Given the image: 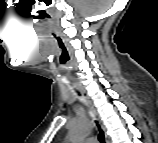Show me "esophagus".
<instances>
[{
	"mask_svg": "<svg viewBox=\"0 0 158 143\" xmlns=\"http://www.w3.org/2000/svg\"><path fill=\"white\" fill-rule=\"evenodd\" d=\"M81 97L83 99V101L85 102V104L87 105V107L89 108V110L91 111L94 119L96 120V122L98 123V125L100 126V129L103 131L104 133V140L105 143L109 142V138L105 132V127L100 119L99 113L97 112L96 108L94 107L93 103L91 102V100L88 98V96L85 94V92L83 91V89L80 86H77Z\"/></svg>",
	"mask_w": 158,
	"mask_h": 143,
	"instance_id": "1",
	"label": "esophagus"
}]
</instances>
